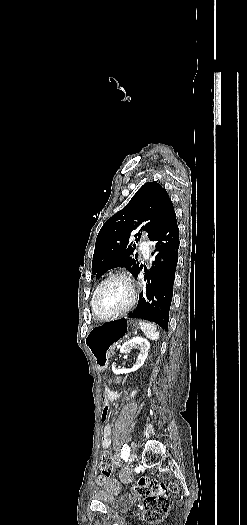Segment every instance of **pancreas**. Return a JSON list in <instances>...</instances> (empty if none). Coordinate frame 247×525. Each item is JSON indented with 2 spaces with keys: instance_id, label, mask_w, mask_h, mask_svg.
I'll return each instance as SVG.
<instances>
[{
  "instance_id": "pancreas-1",
  "label": "pancreas",
  "mask_w": 247,
  "mask_h": 525,
  "mask_svg": "<svg viewBox=\"0 0 247 525\" xmlns=\"http://www.w3.org/2000/svg\"><path fill=\"white\" fill-rule=\"evenodd\" d=\"M114 351H115V348H114L113 346H110V347L107 349V354H109V355H113Z\"/></svg>"
}]
</instances>
